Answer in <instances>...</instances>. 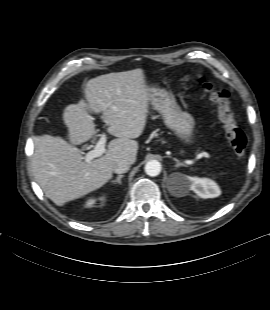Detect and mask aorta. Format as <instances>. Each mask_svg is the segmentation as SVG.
<instances>
[{
  "mask_svg": "<svg viewBox=\"0 0 270 310\" xmlns=\"http://www.w3.org/2000/svg\"><path fill=\"white\" fill-rule=\"evenodd\" d=\"M145 172L149 176H157L161 172V164L157 160H150L145 165Z\"/></svg>",
  "mask_w": 270,
  "mask_h": 310,
  "instance_id": "1",
  "label": "aorta"
}]
</instances>
